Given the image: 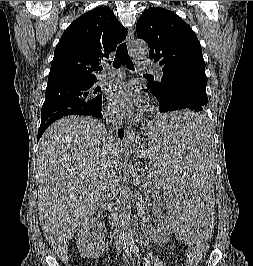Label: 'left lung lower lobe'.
<instances>
[{"instance_id":"0a47b994","label":"left lung lower lobe","mask_w":253,"mask_h":266,"mask_svg":"<svg viewBox=\"0 0 253 266\" xmlns=\"http://www.w3.org/2000/svg\"><path fill=\"white\" fill-rule=\"evenodd\" d=\"M149 90V89H148ZM206 85L191 78L180 79L168 90L167 97L160 103V112L187 109L195 115L189 123L176 127L177 132L198 133L203 131L205 123L201 115L207 105Z\"/></svg>"}]
</instances>
